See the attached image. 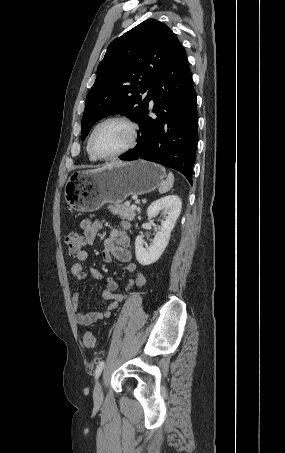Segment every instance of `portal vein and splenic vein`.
Wrapping results in <instances>:
<instances>
[{"label": "portal vein and splenic vein", "instance_id": "obj_1", "mask_svg": "<svg viewBox=\"0 0 285 453\" xmlns=\"http://www.w3.org/2000/svg\"><path fill=\"white\" fill-rule=\"evenodd\" d=\"M131 208L136 209L137 208L136 204L131 205Z\"/></svg>", "mask_w": 285, "mask_h": 453}]
</instances>
